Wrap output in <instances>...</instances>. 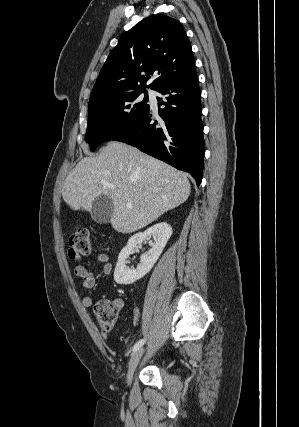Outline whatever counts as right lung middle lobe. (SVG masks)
I'll use <instances>...</instances> for the list:
<instances>
[{
  "label": "right lung middle lobe",
  "instance_id": "right-lung-middle-lobe-1",
  "mask_svg": "<svg viewBox=\"0 0 299 427\" xmlns=\"http://www.w3.org/2000/svg\"><path fill=\"white\" fill-rule=\"evenodd\" d=\"M145 93L144 98L141 94ZM147 92L134 91L104 98L89 105L85 140L94 151L105 140L125 132L150 108Z\"/></svg>",
  "mask_w": 299,
  "mask_h": 427
}]
</instances>
